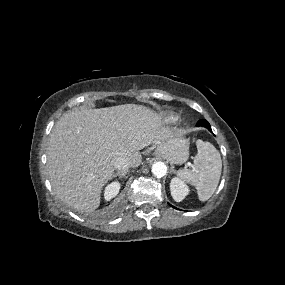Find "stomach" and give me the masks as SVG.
<instances>
[{
  "instance_id": "stomach-1",
  "label": "stomach",
  "mask_w": 285,
  "mask_h": 285,
  "mask_svg": "<svg viewBox=\"0 0 285 285\" xmlns=\"http://www.w3.org/2000/svg\"><path fill=\"white\" fill-rule=\"evenodd\" d=\"M155 155L165 158L171 164H183L189 157V142L177 134L155 147Z\"/></svg>"
}]
</instances>
